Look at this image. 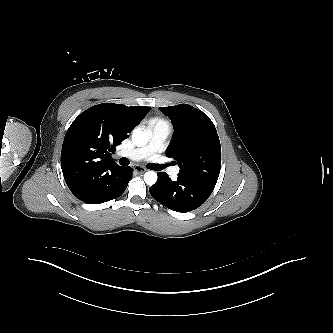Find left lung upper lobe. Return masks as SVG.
I'll return each mask as SVG.
<instances>
[{
    "label": "left lung upper lobe",
    "instance_id": "left-lung-upper-lobe-1",
    "mask_svg": "<svg viewBox=\"0 0 333 333\" xmlns=\"http://www.w3.org/2000/svg\"><path fill=\"white\" fill-rule=\"evenodd\" d=\"M160 110L174 126L166 156L178 163V175L216 183L221 168V146L210 118L188 104L160 107Z\"/></svg>",
    "mask_w": 333,
    "mask_h": 333
}]
</instances>
